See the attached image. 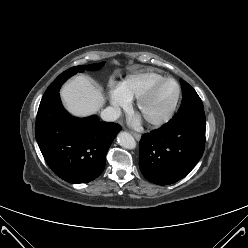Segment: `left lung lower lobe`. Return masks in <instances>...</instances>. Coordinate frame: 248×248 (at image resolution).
I'll return each mask as SVG.
<instances>
[{
	"label": "left lung lower lobe",
	"instance_id": "0a47b994",
	"mask_svg": "<svg viewBox=\"0 0 248 248\" xmlns=\"http://www.w3.org/2000/svg\"><path fill=\"white\" fill-rule=\"evenodd\" d=\"M204 109L175 115L158 130L142 135L139 166L150 182L168 185L184 178L205 148Z\"/></svg>",
	"mask_w": 248,
	"mask_h": 248
}]
</instances>
